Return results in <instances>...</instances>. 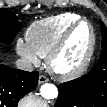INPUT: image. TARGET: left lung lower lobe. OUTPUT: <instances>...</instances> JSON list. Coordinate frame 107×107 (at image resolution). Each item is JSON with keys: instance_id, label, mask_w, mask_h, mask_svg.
Returning <instances> with one entry per match:
<instances>
[{"instance_id": "left-lung-lower-lobe-1", "label": "left lung lower lobe", "mask_w": 107, "mask_h": 107, "mask_svg": "<svg viewBox=\"0 0 107 107\" xmlns=\"http://www.w3.org/2000/svg\"><path fill=\"white\" fill-rule=\"evenodd\" d=\"M55 107H107V62L101 53L98 64L86 75L59 85Z\"/></svg>"}]
</instances>
